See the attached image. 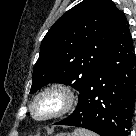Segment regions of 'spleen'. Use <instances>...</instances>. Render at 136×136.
Here are the masks:
<instances>
[{
    "label": "spleen",
    "instance_id": "obj_1",
    "mask_svg": "<svg viewBox=\"0 0 136 136\" xmlns=\"http://www.w3.org/2000/svg\"><path fill=\"white\" fill-rule=\"evenodd\" d=\"M74 136H96L95 134L87 131V130H83V129H76L74 131Z\"/></svg>",
    "mask_w": 136,
    "mask_h": 136
}]
</instances>
